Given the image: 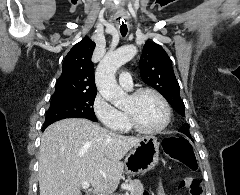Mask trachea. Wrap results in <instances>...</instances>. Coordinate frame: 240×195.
<instances>
[{"label": "trachea", "mask_w": 240, "mask_h": 195, "mask_svg": "<svg viewBox=\"0 0 240 195\" xmlns=\"http://www.w3.org/2000/svg\"><path fill=\"white\" fill-rule=\"evenodd\" d=\"M120 33H121L122 37H125L127 35V25H122L120 27Z\"/></svg>", "instance_id": "1"}]
</instances>
